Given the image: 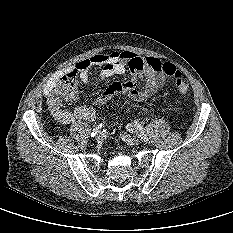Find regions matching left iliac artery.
<instances>
[{
  "label": "left iliac artery",
  "instance_id": "obj_1",
  "mask_svg": "<svg viewBox=\"0 0 233 233\" xmlns=\"http://www.w3.org/2000/svg\"><path fill=\"white\" fill-rule=\"evenodd\" d=\"M134 126L140 131V137L143 139L145 142L148 141L147 135L145 133V130L141 126V124L138 121H134Z\"/></svg>",
  "mask_w": 233,
  "mask_h": 233
}]
</instances>
